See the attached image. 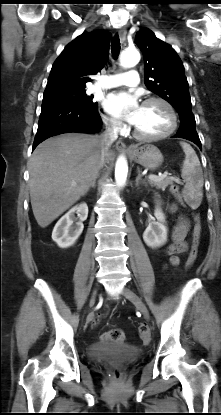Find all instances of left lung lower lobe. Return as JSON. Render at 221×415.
<instances>
[{
    "mask_svg": "<svg viewBox=\"0 0 221 415\" xmlns=\"http://www.w3.org/2000/svg\"><path fill=\"white\" fill-rule=\"evenodd\" d=\"M184 138L194 142L201 149V142L195 129V123H181L180 128L173 138Z\"/></svg>",
    "mask_w": 221,
    "mask_h": 415,
    "instance_id": "1",
    "label": "left lung lower lobe"
}]
</instances>
